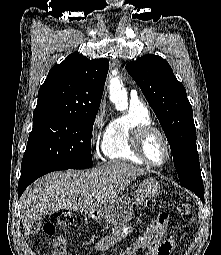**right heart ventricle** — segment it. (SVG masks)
Instances as JSON below:
<instances>
[{"mask_svg":"<svg viewBox=\"0 0 221 255\" xmlns=\"http://www.w3.org/2000/svg\"><path fill=\"white\" fill-rule=\"evenodd\" d=\"M146 124H152L148 108L131 100L127 111L109 122L102 141L103 155L108 160L145 164L134 152L131 137L137 126Z\"/></svg>","mask_w":221,"mask_h":255,"instance_id":"obj_1","label":"right heart ventricle"}]
</instances>
